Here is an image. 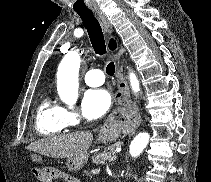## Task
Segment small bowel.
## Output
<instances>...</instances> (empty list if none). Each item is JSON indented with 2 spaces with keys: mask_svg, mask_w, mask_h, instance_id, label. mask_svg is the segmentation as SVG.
Returning a JSON list of instances; mask_svg holds the SVG:
<instances>
[{
  "mask_svg": "<svg viewBox=\"0 0 211 182\" xmlns=\"http://www.w3.org/2000/svg\"><path fill=\"white\" fill-rule=\"evenodd\" d=\"M65 182H80L77 178L67 175Z\"/></svg>",
  "mask_w": 211,
  "mask_h": 182,
  "instance_id": "obj_1",
  "label": "small bowel"
}]
</instances>
